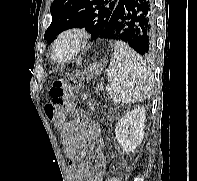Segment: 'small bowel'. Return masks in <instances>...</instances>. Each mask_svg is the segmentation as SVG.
<instances>
[{
    "label": "small bowel",
    "mask_w": 197,
    "mask_h": 181,
    "mask_svg": "<svg viewBox=\"0 0 197 181\" xmlns=\"http://www.w3.org/2000/svg\"><path fill=\"white\" fill-rule=\"evenodd\" d=\"M64 152L69 160L74 181H103L105 157L100 127L85 111L77 110L75 119L67 122L61 131ZM94 156V164L83 159Z\"/></svg>",
    "instance_id": "small-bowel-1"
}]
</instances>
